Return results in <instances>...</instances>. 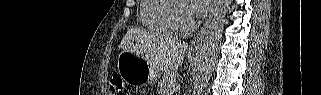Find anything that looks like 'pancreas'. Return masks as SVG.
<instances>
[{
  "label": "pancreas",
  "instance_id": "cf45deb5",
  "mask_svg": "<svg viewBox=\"0 0 321 95\" xmlns=\"http://www.w3.org/2000/svg\"><path fill=\"white\" fill-rule=\"evenodd\" d=\"M178 75L176 72H168L162 76V79L158 83L159 88V94L165 95L166 92L172 91L174 88H176Z\"/></svg>",
  "mask_w": 321,
  "mask_h": 95
}]
</instances>
